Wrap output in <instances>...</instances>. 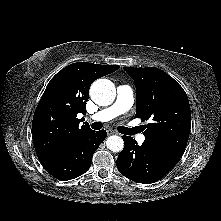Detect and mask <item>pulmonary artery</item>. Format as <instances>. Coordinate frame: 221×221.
<instances>
[{"label": "pulmonary artery", "mask_w": 221, "mask_h": 221, "mask_svg": "<svg viewBox=\"0 0 221 221\" xmlns=\"http://www.w3.org/2000/svg\"><path fill=\"white\" fill-rule=\"evenodd\" d=\"M133 102L134 93L132 88L128 85H119L117 87V98L115 102L111 106L93 114L90 119L96 122H108L127 112L131 108ZM137 140L142 143L145 140L144 135H138Z\"/></svg>", "instance_id": "1"}]
</instances>
